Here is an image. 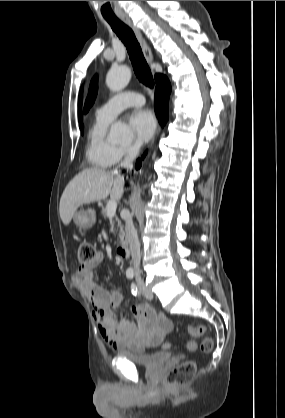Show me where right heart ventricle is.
Instances as JSON below:
<instances>
[{
    "label": "right heart ventricle",
    "mask_w": 285,
    "mask_h": 418,
    "mask_svg": "<svg viewBox=\"0 0 285 418\" xmlns=\"http://www.w3.org/2000/svg\"><path fill=\"white\" fill-rule=\"evenodd\" d=\"M109 123L96 118L87 133L86 158L96 168H107L116 162L118 146L107 137Z\"/></svg>",
    "instance_id": "1"
}]
</instances>
